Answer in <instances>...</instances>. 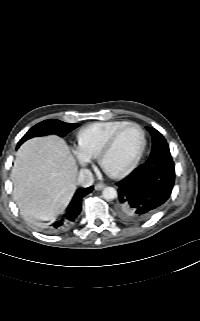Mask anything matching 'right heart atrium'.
<instances>
[{
  "mask_svg": "<svg viewBox=\"0 0 200 321\" xmlns=\"http://www.w3.org/2000/svg\"><path fill=\"white\" fill-rule=\"evenodd\" d=\"M73 153L77 159V161L81 164V165H87L91 162V157L87 156L86 154H84L79 147H75L73 149Z\"/></svg>",
  "mask_w": 200,
  "mask_h": 321,
  "instance_id": "1",
  "label": "right heart atrium"
}]
</instances>
